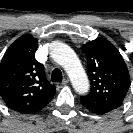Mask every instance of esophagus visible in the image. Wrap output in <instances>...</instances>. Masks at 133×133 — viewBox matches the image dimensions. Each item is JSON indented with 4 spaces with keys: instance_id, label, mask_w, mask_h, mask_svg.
<instances>
[{
    "instance_id": "esophagus-1",
    "label": "esophagus",
    "mask_w": 133,
    "mask_h": 133,
    "mask_svg": "<svg viewBox=\"0 0 133 133\" xmlns=\"http://www.w3.org/2000/svg\"><path fill=\"white\" fill-rule=\"evenodd\" d=\"M69 83V78L68 77H65L62 81V85H66Z\"/></svg>"
}]
</instances>
